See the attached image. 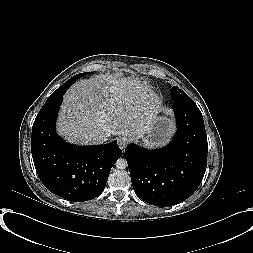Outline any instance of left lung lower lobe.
I'll list each match as a JSON object with an SVG mask.
<instances>
[{"label": "left lung lower lobe", "mask_w": 253, "mask_h": 253, "mask_svg": "<svg viewBox=\"0 0 253 253\" xmlns=\"http://www.w3.org/2000/svg\"><path fill=\"white\" fill-rule=\"evenodd\" d=\"M177 133L171 143L157 150L135 144L125 149L135 193L144 201L169 206L189 198L206 170L208 143L197 106L175 102Z\"/></svg>", "instance_id": "0a47b994"}]
</instances>
